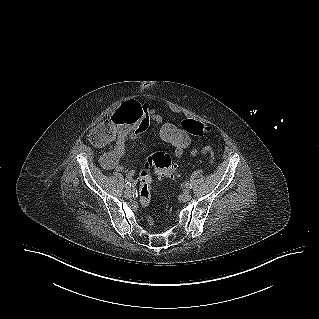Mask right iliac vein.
Returning <instances> with one entry per match:
<instances>
[{"label": "right iliac vein", "mask_w": 319, "mask_h": 319, "mask_svg": "<svg viewBox=\"0 0 319 319\" xmlns=\"http://www.w3.org/2000/svg\"><path fill=\"white\" fill-rule=\"evenodd\" d=\"M133 196V191L131 190V189H126L125 191H124V197L125 198H131Z\"/></svg>", "instance_id": "1"}]
</instances>
